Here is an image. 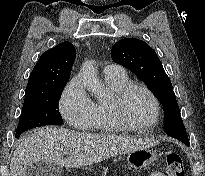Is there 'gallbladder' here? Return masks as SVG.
I'll return each instance as SVG.
<instances>
[{
    "mask_svg": "<svg viewBox=\"0 0 205 176\" xmlns=\"http://www.w3.org/2000/svg\"><path fill=\"white\" fill-rule=\"evenodd\" d=\"M26 176H61L59 166L49 162H35L26 169Z\"/></svg>",
    "mask_w": 205,
    "mask_h": 176,
    "instance_id": "obj_1",
    "label": "gallbladder"
}]
</instances>
